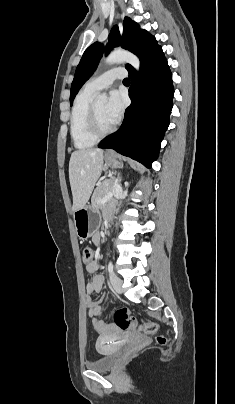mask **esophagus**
I'll use <instances>...</instances> for the list:
<instances>
[{
    "mask_svg": "<svg viewBox=\"0 0 235 404\" xmlns=\"http://www.w3.org/2000/svg\"><path fill=\"white\" fill-rule=\"evenodd\" d=\"M112 153H113V150H111V149H108V150L106 151V154H107V155L112 154Z\"/></svg>",
    "mask_w": 235,
    "mask_h": 404,
    "instance_id": "obj_1",
    "label": "esophagus"
}]
</instances>
